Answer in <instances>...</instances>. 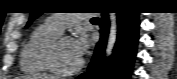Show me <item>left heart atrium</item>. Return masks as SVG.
Wrapping results in <instances>:
<instances>
[{
	"label": "left heart atrium",
	"instance_id": "left-heart-atrium-1",
	"mask_svg": "<svg viewBox=\"0 0 177 79\" xmlns=\"http://www.w3.org/2000/svg\"><path fill=\"white\" fill-rule=\"evenodd\" d=\"M73 46L77 56L81 59L89 48V40L84 33H81L74 41Z\"/></svg>",
	"mask_w": 177,
	"mask_h": 79
}]
</instances>
